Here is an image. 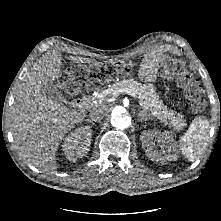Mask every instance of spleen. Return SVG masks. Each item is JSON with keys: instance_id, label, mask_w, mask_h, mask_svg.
<instances>
[{"instance_id": "obj_1", "label": "spleen", "mask_w": 221, "mask_h": 221, "mask_svg": "<svg viewBox=\"0 0 221 221\" xmlns=\"http://www.w3.org/2000/svg\"><path fill=\"white\" fill-rule=\"evenodd\" d=\"M209 130V121L205 117H198L180 138L181 152L189 161H194L203 153L209 138Z\"/></svg>"}]
</instances>
